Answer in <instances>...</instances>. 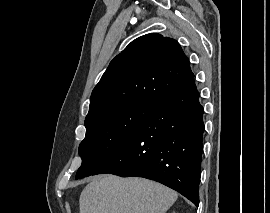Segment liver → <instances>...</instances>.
Instances as JSON below:
<instances>
[{"instance_id": "6515ba94", "label": "liver", "mask_w": 270, "mask_h": 213, "mask_svg": "<svg viewBox=\"0 0 270 213\" xmlns=\"http://www.w3.org/2000/svg\"><path fill=\"white\" fill-rule=\"evenodd\" d=\"M177 197L150 180L101 175L83 189L79 208L80 213H166Z\"/></svg>"}]
</instances>
